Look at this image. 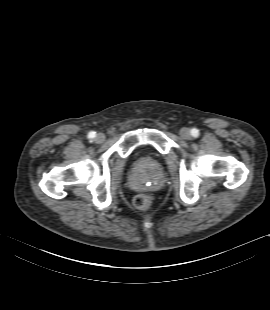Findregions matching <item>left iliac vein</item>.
<instances>
[{
    "label": "left iliac vein",
    "instance_id": "4c4485c4",
    "mask_svg": "<svg viewBox=\"0 0 270 310\" xmlns=\"http://www.w3.org/2000/svg\"><path fill=\"white\" fill-rule=\"evenodd\" d=\"M181 138H183L184 140H188L191 138V131L188 128H182L179 132Z\"/></svg>",
    "mask_w": 270,
    "mask_h": 310
}]
</instances>
